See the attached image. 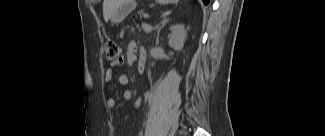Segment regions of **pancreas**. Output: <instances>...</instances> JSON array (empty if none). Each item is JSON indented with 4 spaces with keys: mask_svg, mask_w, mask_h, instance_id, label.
<instances>
[{
    "mask_svg": "<svg viewBox=\"0 0 325 136\" xmlns=\"http://www.w3.org/2000/svg\"><path fill=\"white\" fill-rule=\"evenodd\" d=\"M149 15V10L147 9L146 5H139L137 12H132L131 13V23L132 24H137L138 19H141L142 16H148Z\"/></svg>",
    "mask_w": 325,
    "mask_h": 136,
    "instance_id": "pancreas-1",
    "label": "pancreas"
}]
</instances>
